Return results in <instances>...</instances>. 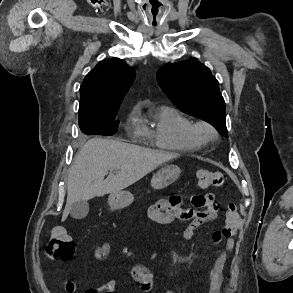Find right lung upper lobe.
Returning a JSON list of instances; mask_svg holds the SVG:
<instances>
[{
  "label": "right lung upper lobe",
  "mask_w": 293,
  "mask_h": 293,
  "mask_svg": "<svg viewBox=\"0 0 293 293\" xmlns=\"http://www.w3.org/2000/svg\"><path fill=\"white\" fill-rule=\"evenodd\" d=\"M134 79L135 70L119 58L99 62L80 87L79 114L117 112Z\"/></svg>",
  "instance_id": "cb5924a9"
}]
</instances>
